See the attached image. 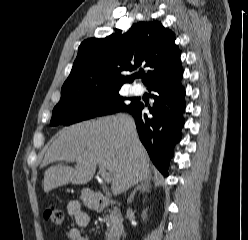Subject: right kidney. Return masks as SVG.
<instances>
[{
  "mask_svg": "<svg viewBox=\"0 0 248 240\" xmlns=\"http://www.w3.org/2000/svg\"><path fill=\"white\" fill-rule=\"evenodd\" d=\"M142 218H143V220H145V218H146V210L143 211Z\"/></svg>",
  "mask_w": 248,
  "mask_h": 240,
  "instance_id": "1",
  "label": "right kidney"
}]
</instances>
